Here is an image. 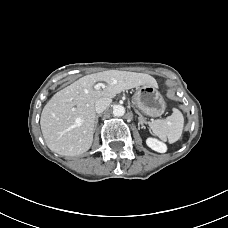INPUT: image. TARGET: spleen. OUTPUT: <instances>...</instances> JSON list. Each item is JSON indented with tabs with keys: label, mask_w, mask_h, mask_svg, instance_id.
<instances>
[{
	"label": "spleen",
	"mask_w": 228,
	"mask_h": 228,
	"mask_svg": "<svg viewBox=\"0 0 228 228\" xmlns=\"http://www.w3.org/2000/svg\"><path fill=\"white\" fill-rule=\"evenodd\" d=\"M149 126L154 135L162 141L168 140L169 143H174L180 139L184 126L183 114L174 109L173 113L166 119H158L149 122Z\"/></svg>",
	"instance_id": "obj_1"
}]
</instances>
